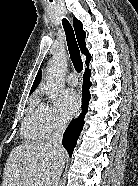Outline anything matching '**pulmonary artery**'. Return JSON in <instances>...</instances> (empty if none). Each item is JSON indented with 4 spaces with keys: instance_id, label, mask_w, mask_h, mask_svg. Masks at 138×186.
<instances>
[{
    "instance_id": "obj_1",
    "label": "pulmonary artery",
    "mask_w": 138,
    "mask_h": 186,
    "mask_svg": "<svg viewBox=\"0 0 138 186\" xmlns=\"http://www.w3.org/2000/svg\"><path fill=\"white\" fill-rule=\"evenodd\" d=\"M66 81L70 86H77L78 85V78L75 74L71 73L67 75Z\"/></svg>"
}]
</instances>
